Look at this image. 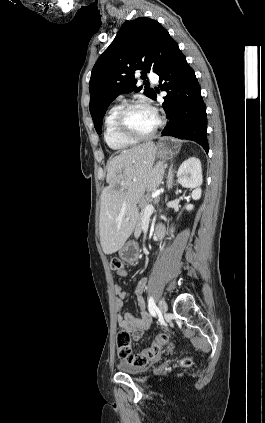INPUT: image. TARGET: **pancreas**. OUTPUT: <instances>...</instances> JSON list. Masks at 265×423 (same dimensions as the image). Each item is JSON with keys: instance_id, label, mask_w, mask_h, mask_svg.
Instances as JSON below:
<instances>
[{"instance_id": "cf45deb5", "label": "pancreas", "mask_w": 265, "mask_h": 423, "mask_svg": "<svg viewBox=\"0 0 265 423\" xmlns=\"http://www.w3.org/2000/svg\"><path fill=\"white\" fill-rule=\"evenodd\" d=\"M153 202H154V200L150 198V195H146L141 200V203H140L141 212L139 214V217H138V220H137V224H136V228H135L136 234H140L141 231H142V221H143V219L145 217V208H146V206L149 205V204H152Z\"/></svg>"}]
</instances>
